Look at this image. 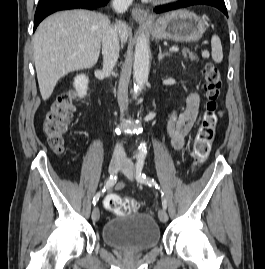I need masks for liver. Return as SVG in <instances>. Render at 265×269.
Here are the masks:
<instances>
[{"instance_id": "1", "label": "liver", "mask_w": 265, "mask_h": 269, "mask_svg": "<svg viewBox=\"0 0 265 269\" xmlns=\"http://www.w3.org/2000/svg\"><path fill=\"white\" fill-rule=\"evenodd\" d=\"M108 25L105 15L87 10L57 12L40 23L33 37V55L43 100L50 98L63 76L97 63ZM116 27L125 43L127 25L118 22Z\"/></svg>"}]
</instances>
